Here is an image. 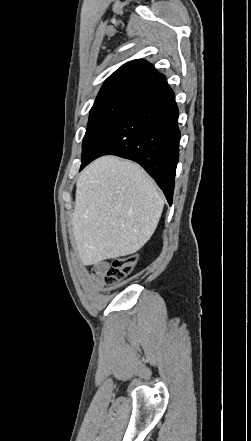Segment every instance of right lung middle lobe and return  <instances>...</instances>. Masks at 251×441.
<instances>
[{
  "label": "right lung middle lobe",
  "mask_w": 251,
  "mask_h": 441,
  "mask_svg": "<svg viewBox=\"0 0 251 441\" xmlns=\"http://www.w3.org/2000/svg\"><path fill=\"white\" fill-rule=\"evenodd\" d=\"M135 102L129 99H110L95 102L90 110L82 144V162L111 125Z\"/></svg>",
  "instance_id": "dd1d6c3e"
}]
</instances>
